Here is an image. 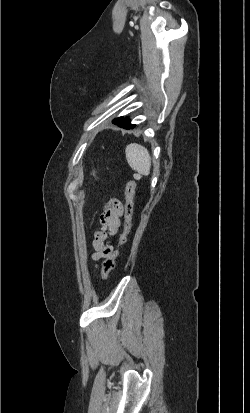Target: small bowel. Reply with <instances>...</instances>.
I'll use <instances>...</instances> for the list:
<instances>
[{
    "label": "small bowel",
    "mask_w": 250,
    "mask_h": 413,
    "mask_svg": "<svg viewBox=\"0 0 250 413\" xmlns=\"http://www.w3.org/2000/svg\"><path fill=\"white\" fill-rule=\"evenodd\" d=\"M123 207L118 200H113L99 216L101 229L96 230L93 234L92 247L94 253L91 259L98 262L106 258L113 251L114 247L111 240L117 235L120 224Z\"/></svg>",
    "instance_id": "1"
}]
</instances>
